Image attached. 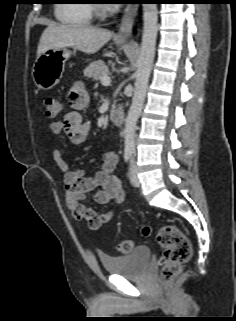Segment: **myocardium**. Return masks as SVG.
Returning a JSON list of instances; mask_svg holds the SVG:
<instances>
[{"label": "myocardium", "mask_w": 236, "mask_h": 321, "mask_svg": "<svg viewBox=\"0 0 236 321\" xmlns=\"http://www.w3.org/2000/svg\"><path fill=\"white\" fill-rule=\"evenodd\" d=\"M92 8L98 17H104L109 13L108 7L101 3H94Z\"/></svg>", "instance_id": "obj_1"}]
</instances>
